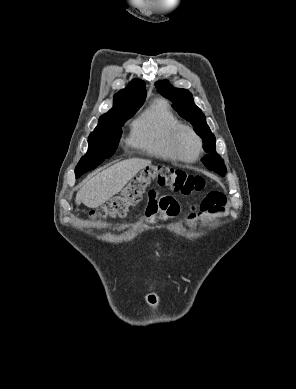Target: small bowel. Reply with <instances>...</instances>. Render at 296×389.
Wrapping results in <instances>:
<instances>
[{
	"mask_svg": "<svg viewBox=\"0 0 296 389\" xmlns=\"http://www.w3.org/2000/svg\"><path fill=\"white\" fill-rule=\"evenodd\" d=\"M226 198L217 192L205 194L198 205L191 207V212L187 215V221L192 222L205 216H215L225 212ZM180 205L178 201L168 195L159 196L155 191L148 195L145 213L142 221L151 224L158 221L174 219L178 216Z\"/></svg>",
	"mask_w": 296,
	"mask_h": 389,
	"instance_id": "c3829d8e",
	"label": "small bowel"
}]
</instances>
